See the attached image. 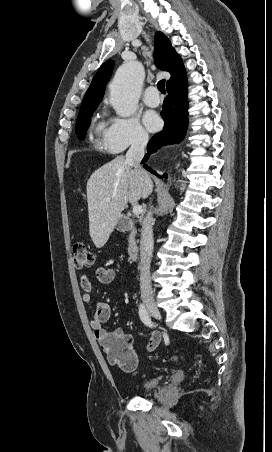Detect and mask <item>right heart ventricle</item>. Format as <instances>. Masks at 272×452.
<instances>
[{
	"instance_id": "obj_1",
	"label": "right heart ventricle",
	"mask_w": 272,
	"mask_h": 452,
	"mask_svg": "<svg viewBox=\"0 0 272 452\" xmlns=\"http://www.w3.org/2000/svg\"><path fill=\"white\" fill-rule=\"evenodd\" d=\"M105 127H104V123L103 122H99L97 125H96V127H95V133L97 134V135H100V134H104L105 133Z\"/></svg>"
}]
</instances>
